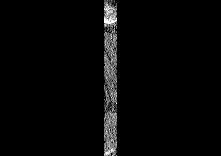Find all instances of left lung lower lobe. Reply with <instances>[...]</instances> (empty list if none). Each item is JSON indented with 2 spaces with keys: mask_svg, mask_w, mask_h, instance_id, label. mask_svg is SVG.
Instances as JSON below:
<instances>
[{
  "mask_svg": "<svg viewBox=\"0 0 221 156\" xmlns=\"http://www.w3.org/2000/svg\"><path fill=\"white\" fill-rule=\"evenodd\" d=\"M126 153L122 149L118 150V156H124Z\"/></svg>",
  "mask_w": 221,
  "mask_h": 156,
  "instance_id": "1",
  "label": "left lung lower lobe"
}]
</instances>
